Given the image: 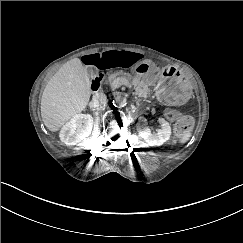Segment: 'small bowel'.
Segmentation results:
<instances>
[{"mask_svg": "<svg viewBox=\"0 0 243 243\" xmlns=\"http://www.w3.org/2000/svg\"><path fill=\"white\" fill-rule=\"evenodd\" d=\"M141 60L138 53L126 50H107L85 55L82 61L93 68H129Z\"/></svg>", "mask_w": 243, "mask_h": 243, "instance_id": "c3829d8e", "label": "small bowel"}]
</instances>
